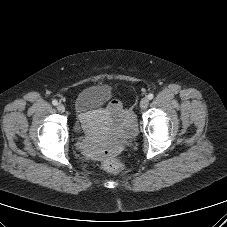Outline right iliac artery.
I'll use <instances>...</instances> for the list:
<instances>
[{
  "label": "right iliac artery",
  "instance_id": "82829eb1",
  "mask_svg": "<svg viewBox=\"0 0 227 227\" xmlns=\"http://www.w3.org/2000/svg\"><path fill=\"white\" fill-rule=\"evenodd\" d=\"M52 104H53L54 106H56V105H58V101H57V100H53V101H52Z\"/></svg>",
  "mask_w": 227,
  "mask_h": 227
}]
</instances>
